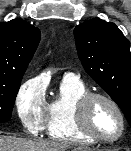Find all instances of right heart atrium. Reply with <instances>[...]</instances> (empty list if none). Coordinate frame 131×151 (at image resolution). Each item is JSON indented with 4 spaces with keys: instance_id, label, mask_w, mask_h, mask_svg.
<instances>
[{
    "instance_id": "right-heart-atrium-1",
    "label": "right heart atrium",
    "mask_w": 131,
    "mask_h": 151,
    "mask_svg": "<svg viewBox=\"0 0 131 151\" xmlns=\"http://www.w3.org/2000/svg\"><path fill=\"white\" fill-rule=\"evenodd\" d=\"M15 108L22 125L30 133L37 134L44 128L47 102L45 87L39 78L32 77L21 84Z\"/></svg>"
}]
</instances>
